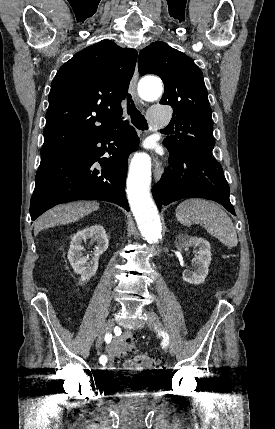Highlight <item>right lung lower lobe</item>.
I'll list each match as a JSON object with an SVG mask.
<instances>
[{"instance_id": "98d812e1", "label": "right lung lower lobe", "mask_w": 275, "mask_h": 429, "mask_svg": "<svg viewBox=\"0 0 275 429\" xmlns=\"http://www.w3.org/2000/svg\"><path fill=\"white\" fill-rule=\"evenodd\" d=\"M137 148V134L125 121L115 129L42 156L31 197V219L74 200H103L129 211L125 194L128 156ZM106 152L110 157H103ZM96 162L101 167L95 168Z\"/></svg>"}]
</instances>
